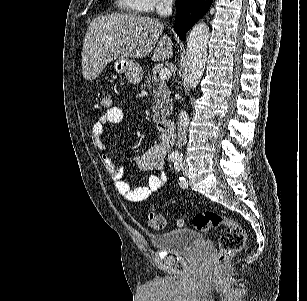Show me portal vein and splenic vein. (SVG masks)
Wrapping results in <instances>:
<instances>
[{
    "instance_id": "portal-vein-and-splenic-vein-1",
    "label": "portal vein and splenic vein",
    "mask_w": 307,
    "mask_h": 301,
    "mask_svg": "<svg viewBox=\"0 0 307 301\" xmlns=\"http://www.w3.org/2000/svg\"><path fill=\"white\" fill-rule=\"evenodd\" d=\"M159 76L161 80H168L171 76V70L169 68H160Z\"/></svg>"
}]
</instances>
